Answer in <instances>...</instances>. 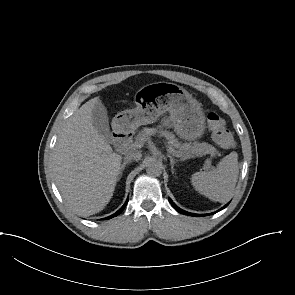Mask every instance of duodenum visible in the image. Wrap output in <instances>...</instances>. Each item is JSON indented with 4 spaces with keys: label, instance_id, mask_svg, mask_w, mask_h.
Returning <instances> with one entry per match:
<instances>
[{
    "label": "duodenum",
    "instance_id": "obj_1",
    "mask_svg": "<svg viewBox=\"0 0 295 295\" xmlns=\"http://www.w3.org/2000/svg\"><path fill=\"white\" fill-rule=\"evenodd\" d=\"M114 143L117 149L125 150L130 144L131 133L128 129V123L121 121L114 128Z\"/></svg>",
    "mask_w": 295,
    "mask_h": 295
}]
</instances>
